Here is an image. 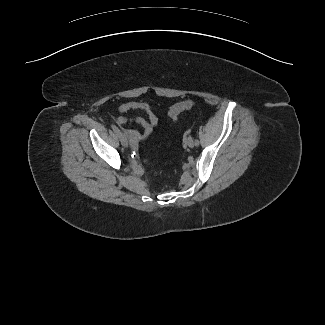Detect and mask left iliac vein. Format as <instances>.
I'll use <instances>...</instances> for the list:
<instances>
[{"label": "left iliac vein", "mask_w": 325, "mask_h": 325, "mask_svg": "<svg viewBox=\"0 0 325 325\" xmlns=\"http://www.w3.org/2000/svg\"><path fill=\"white\" fill-rule=\"evenodd\" d=\"M187 145L190 147V148H193L195 146V142L193 140V138L191 136H189L187 138V141H186Z\"/></svg>", "instance_id": "4c4485c4"}]
</instances>
